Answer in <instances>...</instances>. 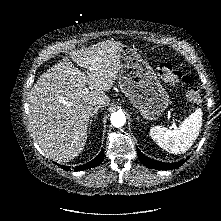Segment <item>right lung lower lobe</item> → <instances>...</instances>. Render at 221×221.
Instances as JSON below:
<instances>
[{
	"label": "right lung lower lobe",
	"mask_w": 221,
	"mask_h": 221,
	"mask_svg": "<svg viewBox=\"0 0 221 221\" xmlns=\"http://www.w3.org/2000/svg\"><path fill=\"white\" fill-rule=\"evenodd\" d=\"M103 157H104V151L102 150L100 152V154L95 159H93L91 162H89L87 164H84V165H81V166L75 168L74 171L86 170V169H90L92 167H96L97 165H99L102 162ZM62 168L64 170H69L70 167L69 166H62Z\"/></svg>",
	"instance_id": "right-lung-lower-lobe-1"
}]
</instances>
